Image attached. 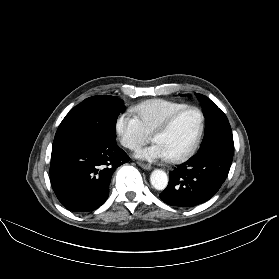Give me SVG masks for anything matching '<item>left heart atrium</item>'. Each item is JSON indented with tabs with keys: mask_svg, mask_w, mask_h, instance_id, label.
Masks as SVG:
<instances>
[{
	"mask_svg": "<svg viewBox=\"0 0 279 279\" xmlns=\"http://www.w3.org/2000/svg\"><path fill=\"white\" fill-rule=\"evenodd\" d=\"M137 156L147 160L167 159L168 155L165 149L159 143L143 148L137 152Z\"/></svg>",
	"mask_w": 279,
	"mask_h": 279,
	"instance_id": "left-heart-atrium-1",
	"label": "left heart atrium"
}]
</instances>
